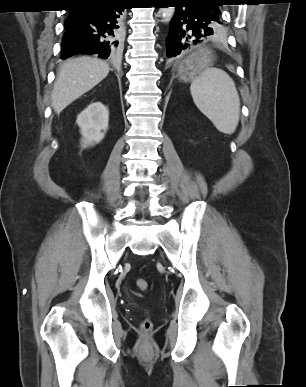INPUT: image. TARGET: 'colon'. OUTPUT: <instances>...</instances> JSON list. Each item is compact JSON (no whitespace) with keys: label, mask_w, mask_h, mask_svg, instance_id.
Returning a JSON list of instances; mask_svg holds the SVG:
<instances>
[{"label":"colon","mask_w":306,"mask_h":387,"mask_svg":"<svg viewBox=\"0 0 306 387\" xmlns=\"http://www.w3.org/2000/svg\"><path fill=\"white\" fill-rule=\"evenodd\" d=\"M136 286H137V288L140 290V291H142V292H145V291H147V289H148V287H149V285H148V282L145 280V279H143V278H138L137 280H136ZM152 322L150 321V320H148V319H146V320H144L142 323H141V330L143 331V332H145V333H148V332H150L151 331V329H152Z\"/></svg>","instance_id":"5ec220e1"}]
</instances>
